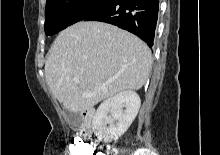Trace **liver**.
I'll return each mask as SVG.
<instances>
[{
	"instance_id": "6515ba94",
	"label": "liver",
	"mask_w": 220,
	"mask_h": 155,
	"mask_svg": "<svg viewBox=\"0 0 220 155\" xmlns=\"http://www.w3.org/2000/svg\"><path fill=\"white\" fill-rule=\"evenodd\" d=\"M151 64V51L137 36L103 22H78L53 42L45 77L63 107L78 113L120 92L142 88Z\"/></svg>"
}]
</instances>
